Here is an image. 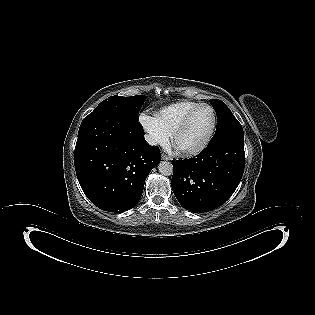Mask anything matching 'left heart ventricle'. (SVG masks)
<instances>
[{
	"instance_id": "1",
	"label": "left heart ventricle",
	"mask_w": 315,
	"mask_h": 315,
	"mask_svg": "<svg viewBox=\"0 0 315 315\" xmlns=\"http://www.w3.org/2000/svg\"><path fill=\"white\" fill-rule=\"evenodd\" d=\"M212 125L209 108H200L190 120L187 128L175 140V146L182 151L197 147L207 136Z\"/></svg>"
}]
</instances>
